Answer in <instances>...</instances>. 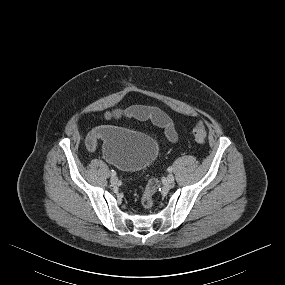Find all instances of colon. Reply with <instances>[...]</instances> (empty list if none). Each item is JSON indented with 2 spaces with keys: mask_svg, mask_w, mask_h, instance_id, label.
Wrapping results in <instances>:
<instances>
[{
  "mask_svg": "<svg viewBox=\"0 0 285 285\" xmlns=\"http://www.w3.org/2000/svg\"><path fill=\"white\" fill-rule=\"evenodd\" d=\"M193 139L198 142L202 143L205 141L207 133L206 128L203 122L198 121L192 128L191 131ZM159 187V180L156 178H152L149 180L145 192L142 196V205L144 208L149 209L153 205V194L157 191Z\"/></svg>",
  "mask_w": 285,
  "mask_h": 285,
  "instance_id": "5ec220e1",
  "label": "colon"
}]
</instances>
